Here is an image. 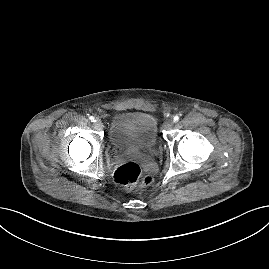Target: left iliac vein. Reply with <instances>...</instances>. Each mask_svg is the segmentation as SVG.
I'll list each match as a JSON object with an SVG mask.
<instances>
[{
    "label": "left iliac vein",
    "instance_id": "4c4485c4",
    "mask_svg": "<svg viewBox=\"0 0 269 269\" xmlns=\"http://www.w3.org/2000/svg\"><path fill=\"white\" fill-rule=\"evenodd\" d=\"M173 123H174V122H173L172 120H167V121L164 122V124H163V128H164L165 130H169V129L172 128Z\"/></svg>",
    "mask_w": 269,
    "mask_h": 269
}]
</instances>
